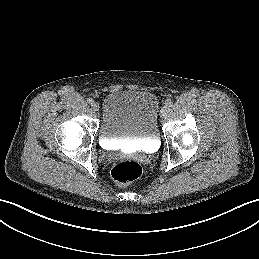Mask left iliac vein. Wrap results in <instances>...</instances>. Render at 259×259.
I'll list each match as a JSON object with an SVG mask.
<instances>
[{"label":"left iliac vein","mask_w":259,"mask_h":259,"mask_svg":"<svg viewBox=\"0 0 259 259\" xmlns=\"http://www.w3.org/2000/svg\"><path fill=\"white\" fill-rule=\"evenodd\" d=\"M167 113H168V107L164 106L160 111V116L164 118L166 117Z\"/></svg>","instance_id":"1"}]
</instances>
